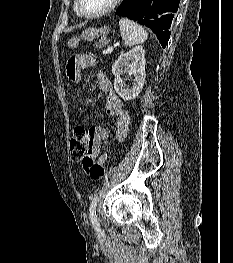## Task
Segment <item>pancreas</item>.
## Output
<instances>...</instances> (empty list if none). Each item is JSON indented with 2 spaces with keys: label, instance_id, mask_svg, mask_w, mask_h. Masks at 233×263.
Masks as SVG:
<instances>
[{
  "label": "pancreas",
  "instance_id": "pancreas-1",
  "mask_svg": "<svg viewBox=\"0 0 233 263\" xmlns=\"http://www.w3.org/2000/svg\"><path fill=\"white\" fill-rule=\"evenodd\" d=\"M108 42L106 39H101L100 41L96 42V47L103 48L107 46Z\"/></svg>",
  "mask_w": 233,
  "mask_h": 263
}]
</instances>
